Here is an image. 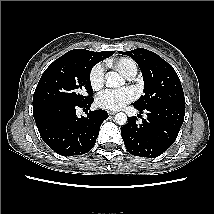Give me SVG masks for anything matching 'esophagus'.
I'll return each mask as SVG.
<instances>
[{"mask_svg": "<svg viewBox=\"0 0 214 214\" xmlns=\"http://www.w3.org/2000/svg\"><path fill=\"white\" fill-rule=\"evenodd\" d=\"M108 114H109V115H115L116 112H114V111H109Z\"/></svg>", "mask_w": 214, "mask_h": 214, "instance_id": "34e87169", "label": "esophagus"}]
</instances>
